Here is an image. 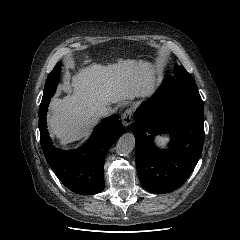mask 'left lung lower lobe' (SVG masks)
I'll return each instance as SVG.
<instances>
[{"label": "left lung lower lobe", "mask_w": 240, "mask_h": 240, "mask_svg": "<svg viewBox=\"0 0 240 240\" xmlns=\"http://www.w3.org/2000/svg\"><path fill=\"white\" fill-rule=\"evenodd\" d=\"M136 166L142 185L152 193L171 192L193 172L203 149L204 108L195 82L166 77L135 112ZM169 131L165 150L153 136Z\"/></svg>", "instance_id": "0a47b994"}]
</instances>
